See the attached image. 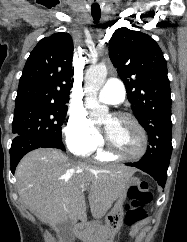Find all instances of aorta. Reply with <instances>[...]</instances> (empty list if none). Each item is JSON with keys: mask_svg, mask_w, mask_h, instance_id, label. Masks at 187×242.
Segmentation results:
<instances>
[{"mask_svg": "<svg viewBox=\"0 0 187 242\" xmlns=\"http://www.w3.org/2000/svg\"><path fill=\"white\" fill-rule=\"evenodd\" d=\"M107 77V68L104 64L91 66L85 74L84 90L86 94V105L90 109L91 117L96 121L104 119L109 112L105 105L98 101V92Z\"/></svg>", "mask_w": 187, "mask_h": 242, "instance_id": "1", "label": "aorta"}]
</instances>
